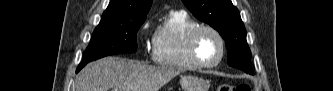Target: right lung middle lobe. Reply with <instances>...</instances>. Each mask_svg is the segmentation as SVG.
I'll return each mask as SVG.
<instances>
[{
  "label": "right lung middle lobe",
  "mask_w": 333,
  "mask_h": 91,
  "mask_svg": "<svg viewBox=\"0 0 333 91\" xmlns=\"http://www.w3.org/2000/svg\"><path fill=\"white\" fill-rule=\"evenodd\" d=\"M145 19L146 17L101 18L86 49L83 62L88 63L113 54L136 52V34Z\"/></svg>",
  "instance_id": "dd1d6c3e"
}]
</instances>
